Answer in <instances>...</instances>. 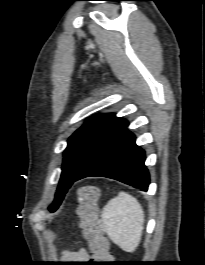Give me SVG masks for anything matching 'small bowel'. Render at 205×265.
Returning <instances> with one entry per match:
<instances>
[{"label":"small bowel","instance_id":"obj_1","mask_svg":"<svg viewBox=\"0 0 205 265\" xmlns=\"http://www.w3.org/2000/svg\"><path fill=\"white\" fill-rule=\"evenodd\" d=\"M65 258L71 261H77V263H83L89 259L88 252L80 248L78 250H69L65 252Z\"/></svg>","mask_w":205,"mask_h":265}]
</instances>
